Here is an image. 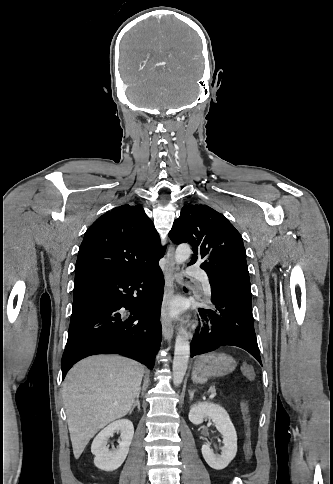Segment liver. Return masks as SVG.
<instances>
[{
    "label": "liver",
    "instance_id": "obj_1",
    "mask_svg": "<svg viewBox=\"0 0 333 484\" xmlns=\"http://www.w3.org/2000/svg\"><path fill=\"white\" fill-rule=\"evenodd\" d=\"M143 373L133 360L103 355L86 358L68 372L63 402L76 459L100 429L131 410Z\"/></svg>",
    "mask_w": 333,
    "mask_h": 484
}]
</instances>
